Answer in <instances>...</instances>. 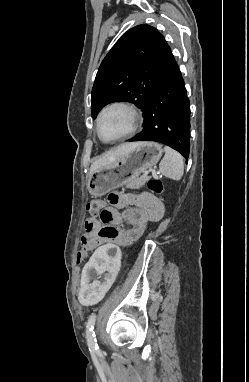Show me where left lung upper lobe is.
Listing matches in <instances>:
<instances>
[{"mask_svg":"<svg viewBox=\"0 0 249 382\" xmlns=\"http://www.w3.org/2000/svg\"><path fill=\"white\" fill-rule=\"evenodd\" d=\"M173 61L157 29L142 24L128 30L98 69L91 96L92 117L111 102H131L144 114Z\"/></svg>","mask_w":249,"mask_h":382,"instance_id":"obj_1","label":"left lung upper lobe"}]
</instances>
